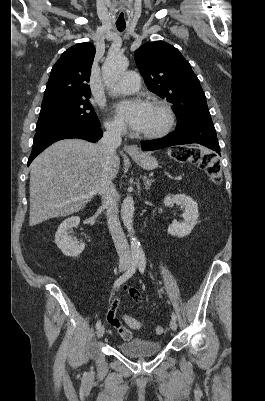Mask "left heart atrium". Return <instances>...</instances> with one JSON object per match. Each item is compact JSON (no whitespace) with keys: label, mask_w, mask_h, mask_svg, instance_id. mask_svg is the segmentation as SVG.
I'll list each match as a JSON object with an SVG mask.
<instances>
[{"label":"left heart atrium","mask_w":265,"mask_h":401,"mask_svg":"<svg viewBox=\"0 0 265 401\" xmlns=\"http://www.w3.org/2000/svg\"><path fill=\"white\" fill-rule=\"evenodd\" d=\"M115 117L123 123L129 124L132 128L140 130L144 125L149 109V104L143 100H123L113 106Z\"/></svg>","instance_id":"obj_1"}]
</instances>
